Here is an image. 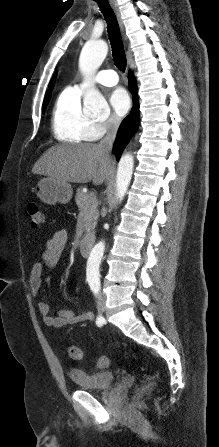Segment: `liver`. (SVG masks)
<instances>
[{"label":"liver","mask_w":219,"mask_h":447,"mask_svg":"<svg viewBox=\"0 0 219 447\" xmlns=\"http://www.w3.org/2000/svg\"><path fill=\"white\" fill-rule=\"evenodd\" d=\"M113 161L99 144H62L48 149L32 168L34 174L64 182L100 185L113 174Z\"/></svg>","instance_id":"liver-1"}]
</instances>
